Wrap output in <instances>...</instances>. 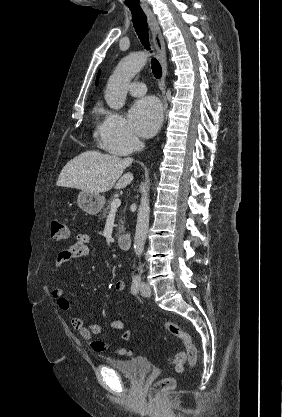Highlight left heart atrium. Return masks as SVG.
<instances>
[{
	"instance_id": "39dd6f15",
	"label": "left heart atrium",
	"mask_w": 282,
	"mask_h": 417,
	"mask_svg": "<svg viewBox=\"0 0 282 417\" xmlns=\"http://www.w3.org/2000/svg\"><path fill=\"white\" fill-rule=\"evenodd\" d=\"M162 107L153 97L136 102L130 109L129 120L131 127L137 133L147 136L152 134L160 124Z\"/></svg>"
}]
</instances>
